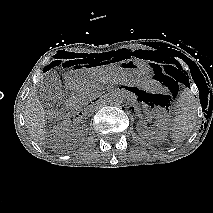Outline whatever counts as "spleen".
<instances>
[{
    "label": "spleen",
    "instance_id": "3e777b00",
    "mask_svg": "<svg viewBox=\"0 0 213 213\" xmlns=\"http://www.w3.org/2000/svg\"><path fill=\"white\" fill-rule=\"evenodd\" d=\"M198 100L189 89H185L177 102V112L173 121L170 137L174 142H181L189 136L197 124Z\"/></svg>",
    "mask_w": 213,
    "mask_h": 213
}]
</instances>
